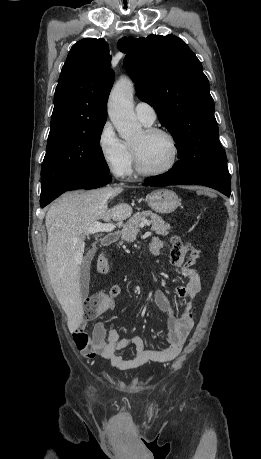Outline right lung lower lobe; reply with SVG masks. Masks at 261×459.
Returning a JSON list of instances; mask_svg holds the SVG:
<instances>
[{"mask_svg": "<svg viewBox=\"0 0 261 459\" xmlns=\"http://www.w3.org/2000/svg\"><path fill=\"white\" fill-rule=\"evenodd\" d=\"M112 178L109 175L83 176L71 179L59 185L51 194L40 199V206L43 208L56 199L65 191L73 189H94L108 184Z\"/></svg>", "mask_w": 261, "mask_h": 459, "instance_id": "1", "label": "right lung lower lobe"}]
</instances>
